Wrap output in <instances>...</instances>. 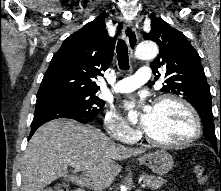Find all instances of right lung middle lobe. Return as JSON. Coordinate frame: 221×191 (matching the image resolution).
<instances>
[{"label":"right lung middle lobe","mask_w":221,"mask_h":191,"mask_svg":"<svg viewBox=\"0 0 221 191\" xmlns=\"http://www.w3.org/2000/svg\"><path fill=\"white\" fill-rule=\"evenodd\" d=\"M54 99L67 105L74 113L86 119H94L105 105V102L95 94L69 93L54 97Z\"/></svg>","instance_id":"1"}]
</instances>
